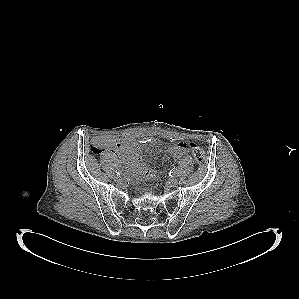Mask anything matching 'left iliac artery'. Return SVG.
<instances>
[{
	"label": "left iliac artery",
	"instance_id": "left-iliac-artery-1",
	"mask_svg": "<svg viewBox=\"0 0 299 299\" xmlns=\"http://www.w3.org/2000/svg\"><path fill=\"white\" fill-rule=\"evenodd\" d=\"M177 174H178L177 168L174 167L170 170V175H177Z\"/></svg>",
	"mask_w": 299,
	"mask_h": 299
}]
</instances>
